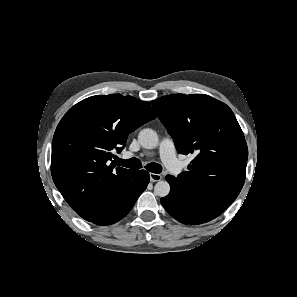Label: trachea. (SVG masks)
I'll use <instances>...</instances> for the list:
<instances>
[{
  "label": "trachea",
  "instance_id": "1",
  "mask_svg": "<svg viewBox=\"0 0 297 297\" xmlns=\"http://www.w3.org/2000/svg\"><path fill=\"white\" fill-rule=\"evenodd\" d=\"M116 165L131 168V169H138L142 168L141 161L135 157L130 158L128 160L117 159ZM145 168L152 172V173H160L162 171V166L158 163L151 162L145 166Z\"/></svg>",
  "mask_w": 297,
  "mask_h": 297
}]
</instances>
